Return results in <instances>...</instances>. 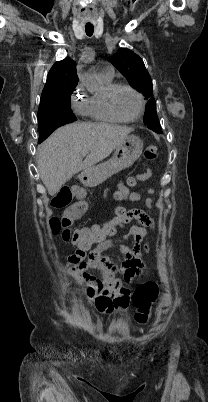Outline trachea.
I'll list each match as a JSON object with an SVG mask.
<instances>
[{"instance_id": "3493384b", "label": "trachea", "mask_w": 208, "mask_h": 402, "mask_svg": "<svg viewBox=\"0 0 208 402\" xmlns=\"http://www.w3.org/2000/svg\"><path fill=\"white\" fill-rule=\"evenodd\" d=\"M85 32H86V35H88V37H91L94 32V27H85Z\"/></svg>"}]
</instances>
